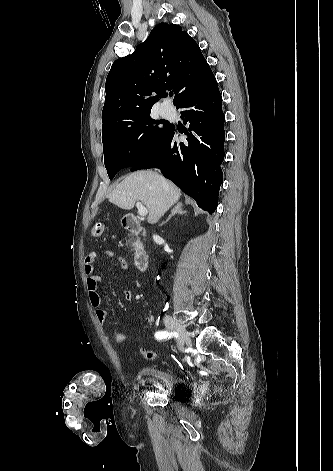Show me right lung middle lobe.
<instances>
[{
    "instance_id": "dd1d6c3e",
    "label": "right lung middle lobe",
    "mask_w": 333,
    "mask_h": 471,
    "mask_svg": "<svg viewBox=\"0 0 333 471\" xmlns=\"http://www.w3.org/2000/svg\"><path fill=\"white\" fill-rule=\"evenodd\" d=\"M150 111L115 123L102 132L104 163L110 179L145 158L164 138L171 125L150 117Z\"/></svg>"
}]
</instances>
